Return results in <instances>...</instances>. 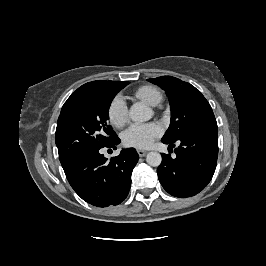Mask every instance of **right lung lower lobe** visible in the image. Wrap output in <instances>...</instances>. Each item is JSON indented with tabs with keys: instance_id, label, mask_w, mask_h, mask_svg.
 Instances as JSON below:
<instances>
[{
	"instance_id": "98d812e1",
	"label": "right lung lower lobe",
	"mask_w": 266,
	"mask_h": 266,
	"mask_svg": "<svg viewBox=\"0 0 266 266\" xmlns=\"http://www.w3.org/2000/svg\"><path fill=\"white\" fill-rule=\"evenodd\" d=\"M119 143L117 137L105 147L116 149ZM138 159L134 149H123L108 161L98 149L79 156L63 169L71 187L84 201L107 207L118 205L127 197Z\"/></svg>"
}]
</instances>
